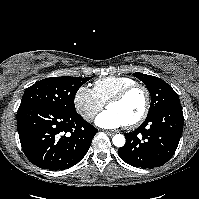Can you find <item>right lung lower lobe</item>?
Returning a JSON list of instances; mask_svg holds the SVG:
<instances>
[{
	"mask_svg": "<svg viewBox=\"0 0 199 199\" xmlns=\"http://www.w3.org/2000/svg\"><path fill=\"white\" fill-rule=\"evenodd\" d=\"M17 129L28 160L49 170L77 164L98 131L77 112L64 113L43 105L19 107Z\"/></svg>",
	"mask_w": 199,
	"mask_h": 199,
	"instance_id": "1",
	"label": "right lung lower lobe"
}]
</instances>
